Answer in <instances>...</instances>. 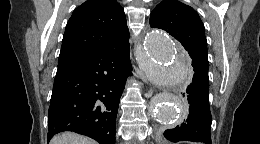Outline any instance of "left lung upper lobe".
I'll use <instances>...</instances> for the list:
<instances>
[{
    "instance_id": "left-lung-upper-lobe-1",
    "label": "left lung upper lobe",
    "mask_w": 260,
    "mask_h": 144,
    "mask_svg": "<svg viewBox=\"0 0 260 144\" xmlns=\"http://www.w3.org/2000/svg\"><path fill=\"white\" fill-rule=\"evenodd\" d=\"M150 25L167 31L189 55L208 60L205 28L192 7L177 0L161 1L151 12Z\"/></svg>"
}]
</instances>
